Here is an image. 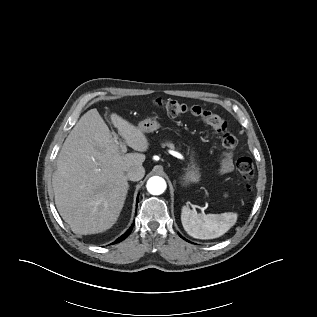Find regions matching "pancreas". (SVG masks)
Instances as JSON below:
<instances>
[{
  "mask_svg": "<svg viewBox=\"0 0 317 317\" xmlns=\"http://www.w3.org/2000/svg\"><path fill=\"white\" fill-rule=\"evenodd\" d=\"M163 146H167V147H169V148H171V149H174V148H175L172 143H165V144H163Z\"/></svg>",
  "mask_w": 317,
  "mask_h": 317,
  "instance_id": "cf45deb5",
  "label": "pancreas"
}]
</instances>
